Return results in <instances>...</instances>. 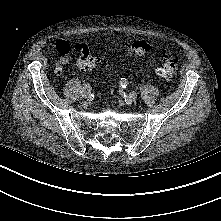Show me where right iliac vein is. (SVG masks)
<instances>
[{
  "label": "right iliac vein",
  "instance_id": "obj_1",
  "mask_svg": "<svg viewBox=\"0 0 221 221\" xmlns=\"http://www.w3.org/2000/svg\"><path fill=\"white\" fill-rule=\"evenodd\" d=\"M89 94H90V91H88L87 89L83 90V97L84 98H87L89 96Z\"/></svg>",
  "mask_w": 221,
  "mask_h": 221
}]
</instances>
